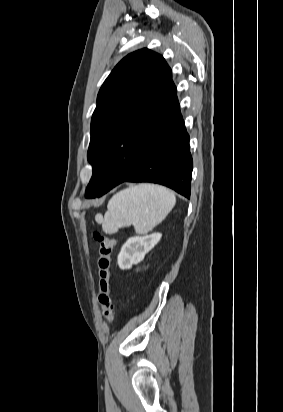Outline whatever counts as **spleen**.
Returning a JSON list of instances; mask_svg holds the SVG:
<instances>
[{
  "mask_svg": "<svg viewBox=\"0 0 283 412\" xmlns=\"http://www.w3.org/2000/svg\"><path fill=\"white\" fill-rule=\"evenodd\" d=\"M176 203L169 189L154 184H138L116 193L108 202L101 219L105 233L113 234L120 228L134 226L138 234H146L161 223Z\"/></svg>",
  "mask_w": 283,
  "mask_h": 412,
  "instance_id": "3e777b00",
  "label": "spleen"
}]
</instances>
